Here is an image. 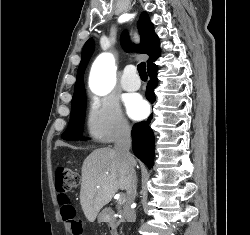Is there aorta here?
<instances>
[{
    "instance_id": "aorta-1",
    "label": "aorta",
    "mask_w": 250,
    "mask_h": 235,
    "mask_svg": "<svg viewBox=\"0 0 250 235\" xmlns=\"http://www.w3.org/2000/svg\"><path fill=\"white\" fill-rule=\"evenodd\" d=\"M115 80V66L109 54H102L91 73V86L97 93H106Z\"/></svg>"
}]
</instances>
